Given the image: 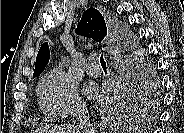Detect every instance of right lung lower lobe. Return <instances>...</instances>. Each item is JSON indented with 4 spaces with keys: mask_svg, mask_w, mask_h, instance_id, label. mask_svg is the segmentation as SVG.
<instances>
[{
    "mask_svg": "<svg viewBox=\"0 0 184 133\" xmlns=\"http://www.w3.org/2000/svg\"><path fill=\"white\" fill-rule=\"evenodd\" d=\"M124 25L122 23H114V31L115 35L118 38V43L120 46V53L123 58L126 60V64L129 62L130 52L132 47L130 46V42H128L129 38L126 36L124 31ZM143 55V54H142ZM144 56V55H143Z\"/></svg>",
    "mask_w": 184,
    "mask_h": 133,
    "instance_id": "98d812e1",
    "label": "right lung lower lobe"
}]
</instances>
